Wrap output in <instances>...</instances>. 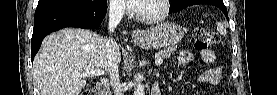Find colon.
I'll return each mask as SVG.
<instances>
[{
    "instance_id": "colon-1",
    "label": "colon",
    "mask_w": 277,
    "mask_h": 95,
    "mask_svg": "<svg viewBox=\"0 0 277 95\" xmlns=\"http://www.w3.org/2000/svg\"><path fill=\"white\" fill-rule=\"evenodd\" d=\"M194 47L197 50H207L210 46L218 43L219 37L207 27L198 26L192 32ZM81 95H95L93 90H84Z\"/></svg>"
}]
</instances>
